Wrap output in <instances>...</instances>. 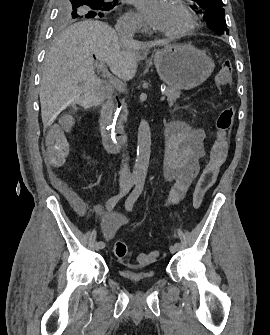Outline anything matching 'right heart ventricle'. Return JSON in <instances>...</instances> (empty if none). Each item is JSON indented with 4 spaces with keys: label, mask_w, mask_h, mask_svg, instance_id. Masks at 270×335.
<instances>
[{
    "label": "right heart ventricle",
    "mask_w": 270,
    "mask_h": 335,
    "mask_svg": "<svg viewBox=\"0 0 270 335\" xmlns=\"http://www.w3.org/2000/svg\"><path fill=\"white\" fill-rule=\"evenodd\" d=\"M162 78H173V77H162Z\"/></svg>",
    "instance_id": "1"
}]
</instances>
